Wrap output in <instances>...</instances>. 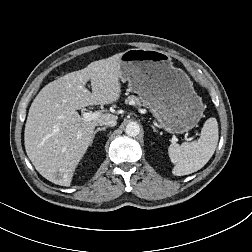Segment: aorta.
<instances>
[{
  "label": "aorta",
  "mask_w": 252,
  "mask_h": 252,
  "mask_svg": "<svg viewBox=\"0 0 252 252\" xmlns=\"http://www.w3.org/2000/svg\"><path fill=\"white\" fill-rule=\"evenodd\" d=\"M125 132L128 136L135 137L140 133V126L136 122H130L126 125Z\"/></svg>",
  "instance_id": "1"
}]
</instances>
